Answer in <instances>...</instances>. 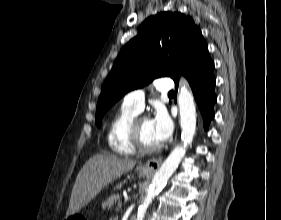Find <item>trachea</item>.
I'll return each mask as SVG.
<instances>
[{"label": "trachea", "mask_w": 281, "mask_h": 220, "mask_svg": "<svg viewBox=\"0 0 281 220\" xmlns=\"http://www.w3.org/2000/svg\"><path fill=\"white\" fill-rule=\"evenodd\" d=\"M174 94V91H170L169 93H168V95H173Z\"/></svg>", "instance_id": "trachea-1"}]
</instances>
